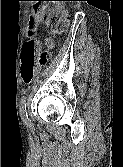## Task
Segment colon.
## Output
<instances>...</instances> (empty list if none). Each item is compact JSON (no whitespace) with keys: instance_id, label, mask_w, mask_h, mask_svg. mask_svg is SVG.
<instances>
[{"instance_id":"colon-1","label":"colon","mask_w":123,"mask_h":167,"mask_svg":"<svg viewBox=\"0 0 123 167\" xmlns=\"http://www.w3.org/2000/svg\"><path fill=\"white\" fill-rule=\"evenodd\" d=\"M41 20L47 21L46 7H44V5L35 8V16L32 17L29 21L30 29L32 30ZM67 23V13L62 12L59 19L52 27L53 33L60 34L64 32L67 27ZM51 45L52 43L49 40L47 42V46L51 47ZM49 56V51L41 50L38 41L31 32L23 45L21 54V77L23 81L26 83L31 82L36 67L38 65H43L48 60Z\"/></svg>"}]
</instances>
